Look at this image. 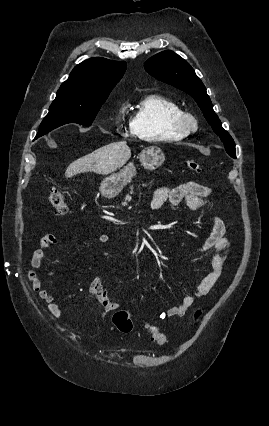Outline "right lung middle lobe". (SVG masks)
<instances>
[{
    "mask_svg": "<svg viewBox=\"0 0 269 426\" xmlns=\"http://www.w3.org/2000/svg\"><path fill=\"white\" fill-rule=\"evenodd\" d=\"M107 97L82 98L76 95H56L35 139L67 123L90 126Z\"/></svg>",
    "mask_w": 269,
    "mask_h": 426,
    "instance_id": "obj_1",
    "label": "right lung middle lobe"
}]
</instances>
